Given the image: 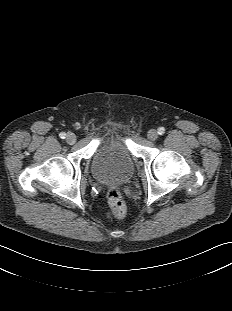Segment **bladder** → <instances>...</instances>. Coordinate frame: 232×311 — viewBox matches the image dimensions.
Segmentation results:
<instances>
[{
	"instance_id": "1",
	"label": "bladder",
	"mask_w": 232,
	"mask_h": 311,
	"mask_svg": "<svg viewBox=\"0 0 232 311\" xmlns=\"http://www.w3.org/2000/svg\"><path fill=\"white\" fill-rule=\"evenodd\" d=\"M133 170L132 157L121 137L110 135L98 142L92 160V174L97 180L123 183Z\"/></svg>"
}]
</instances>
